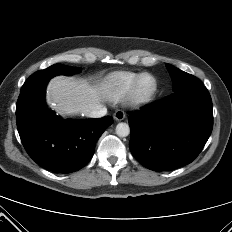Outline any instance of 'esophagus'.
Wrapping results in <instances>:
<instances>
[{
    "mask_svg": "<svg viewBox=\"0 0 232 232\" xmlns=\"http://www.w3.org/2000/svg\"><path fill=\"white\" fill-rule=\"evenodd\" d=\"M125 113H124V111H122V110H117L115 113H114V115H113V117H114V119L116 120V121H121V120H123L124 118H125Z\"/></svg>",
    "mask_w": 232,
    "mask_h": 232,
    "instance_id": "obj_1",
    "label": "esophagus"
}]
</instances>
